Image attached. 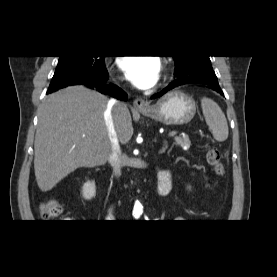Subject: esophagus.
<instances>
[{"mask_svg":"<svg viewBox=\"0 0 277 277\" xmlns=\"http://www.w3.org/2000/svg\"><path fill=\"white\" fill-rule=\"evenodd\" d=\"M133 105L137 110H140V111L148 108V102L140 97L134 100Z\"/></svg>","mask_w":277,"mask_h":277,"instance_id":"esophagus-1","label":"esophagus"}]
</instances>
